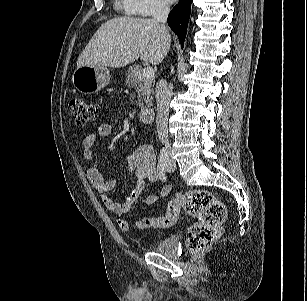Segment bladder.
Segmentation results:
<instances>
[{
	"label": "bladder",
	"mask_w": 307,
	"mask_h": 301,
	"mask_svg": "<svg viewBox=\"0 0 307 301\" xmlns=\"http://www.w3.org/2000/svg\"><path fill=\"white\" fill-rule=\"evenodd\" d=\"M179 242L180 237L178 235H170L159 240L154 247V251L165 256H176Z\"/></svg>",
	"instance_id": "bladder-1"
}]
</instances>
